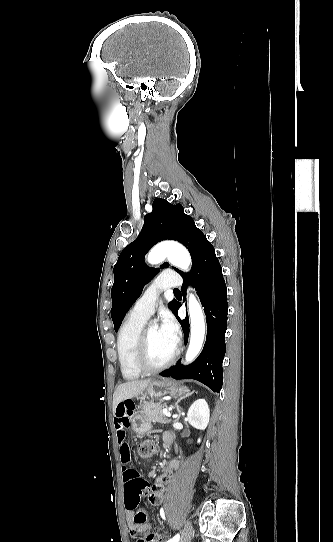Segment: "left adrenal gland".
Masks as SVG:
<instances>
[{
  "label": "left adrenal gland",
  "mask_w": 333,
  "mask_h": 542,
  "mask_svg": "<svg viewBox=\"0 0 333 542\" xmlns=\"http://www.w3.org/2000/svg\"><path fill=\"white\" fill-rule=\"evenodd\" d=\"M192 394H194V392H191V394H185V396H182V398H178L177 402H175L174 404V408L178 414V418H176V420H179L180 416H181V410H180V406H179V402H181V400H184V398H189V396H192Z\"/></svg>",
  "instance_id": "1"
}]
</instances>
